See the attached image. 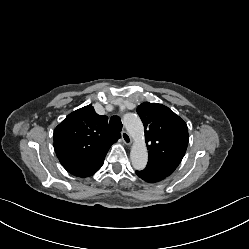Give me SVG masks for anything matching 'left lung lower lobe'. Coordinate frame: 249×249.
Instances as JSON below:
<instances>
[{
  "mask_svg": "<svg viewBox=\"0 0 249 249\" xmlns=\"http://www.w3.org/2000/svg\"><path fill=\"white\" fill-rule=\"evenodd\" d=\"M136 174L143 180L149 183H155L158 181L163 180L165 177L151 173L149 171L143 170V171H136Z\"/></svg>",
  "mask_w": 249,
  "mask_h": 249,
  "instance_id": "0a47b994",
  "label": "left lung lower lobe"
}]
</instances>
